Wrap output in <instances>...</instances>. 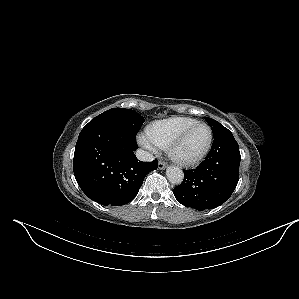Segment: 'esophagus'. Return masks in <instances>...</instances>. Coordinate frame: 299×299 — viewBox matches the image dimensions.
Listing matches in <instances>:
<instances>
[{
    "label": "esophagus",
    "instance_id": "34e87169",
    "mask_svg": "<svg viewBox=\"0 0 299 299\" xmlns=\"http://www.w3.org/2000/svg\"><path fill=\"white\" fill-rule=\"evenodd\" d=\"M158 168H159L160 170L165 169V168H166V163H165V162H162V161H159V162H158Z\"/></svg>",
    "mask_w": 299,
    "mask_h": 299
}]
</instances>
